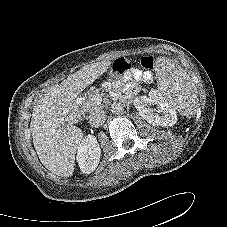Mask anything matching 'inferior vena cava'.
Wrapping results in <instances>:
<instances>
[{
	"instance_id": "obj_1",
	"label": "inferior vena cava",
	"mask_w": 227,
	"mask_h": 227,
	"mask_svg": "<svg viewBox=\"0 0 227 227\" xmlns=\"http://www.w3.org/2000/svg\"><path fill=\"white\" fill-rule=\"evenodd\" d=\"M106 115L102 110H96L89 116V123L92 127H99L105 122Z\"/></svg>"
}]
</instances>
